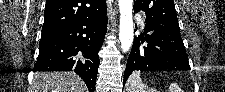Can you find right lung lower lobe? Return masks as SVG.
<instances>
[{"label":"right lung lower lobe","mask_w":225,"mask_h":92,"mask_svg":"<svg viewBox=\"0 0 225 92\" xmlns=\"http://www.w3.org/2000/svg\"><path fill=\"white\" fill-rule=\"evenodd\" d=\"M106 9L94 18L79 20L39 42L33 71H74L94 92L99 56L107 31Z\"/></svg>","instance_id":"1"}]
</instances>
